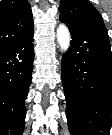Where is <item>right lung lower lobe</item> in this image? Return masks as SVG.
<instances>
[{"mask_svg":"<svg viewBox=\"0 0 112 135\" xmlns=\"http://www.w3.org/2000/svg\"><path fill=\"white\" fill-rule=\"evenodd\" d=\"M33 59V31L0 52V135L23 133Z\"/></svg>","mask_w":112,"mask_h":135,"instance_id":"98d812e1","label":"right lung lower lobe"}]
</instances>
